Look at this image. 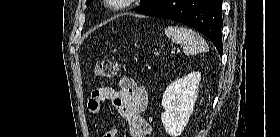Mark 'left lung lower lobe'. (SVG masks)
I'll use <instances>...</instances> for the list:
<instances>
[{
	"instance_id": "0a47b994",
	"label": "left lung lower lobe",
	"mask_w": 280,
	"mask_h": 137,
	"mask_svg": "<svg viewBox=\"0 0 280 137\" xmlns=\"http://www.w3.org/2000/svg\"><path fill=\"white\" fill-rule=\"evenodd\" d=\"M144 15L168 18L193 27L214 44L220 55L223 53L222 0H162Z\"/></svg>"
}]
</instances>
